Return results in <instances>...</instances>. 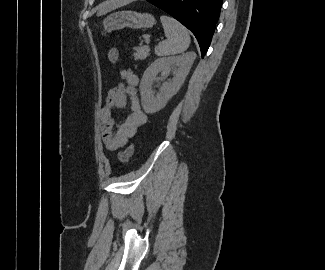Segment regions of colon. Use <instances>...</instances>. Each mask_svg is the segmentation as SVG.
<instances>
[{"label": "colon", "instance_id": "colon-1", "mask_svg": "<svg viewBox=\"0 0 325 270\" xmlns=\"http://www.w3.org/2000/svg\"><path fill=\"white\" fill-rule=\"evenodd\" d=\"M119 58V50L116 47H113L108 52V60L110 63L114 64L118 61ZM134 152V145L128 146L123 152L118 154L119 163H124L129 160Z\"/></svg>", "mask_w": 325, "mask_h": 270}]
</instances>
